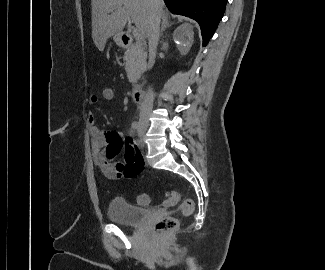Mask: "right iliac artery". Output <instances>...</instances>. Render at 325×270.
Listing matches in <instances>:
<instances>
[{
	"instance_id": "82829eb1",
	"label": "right iliac artery",
	"mask_w": 325,
	"mask_h": 270,
	"mask_svg": "<svg viewBox=\"0 0 325 270\" xmlns=\"http://www.w3.org/2000/svg\"><path fill=\"white\" fill-rule=\"evenodd\" d=\"M132 127H133L134 129H139V128H140V123L137 122V121H134V122L132 123Z\"/></svg>"
}]
</instances>
